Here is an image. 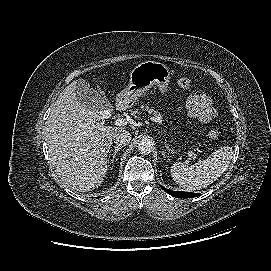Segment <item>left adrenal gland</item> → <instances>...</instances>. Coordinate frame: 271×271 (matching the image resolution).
I'll use <instances>...</instances> for the list:
<instances>
[{
    "instance_id": "a2214340",
    "label": "left adrenal gland",
    "mask_w": 271,
    "mask_h": 271,
    "mask_svg": "<svg viewBox=\"0 0 271 271\" xmlns=\"http://www.w3.org/2000/svg\"><path fill=\"white\" fill-rule=\"evenodd\" d=\"M162 155H163V157H166V155H165V152H164V151H162Z\"/></svg>"
}]
</instances>
